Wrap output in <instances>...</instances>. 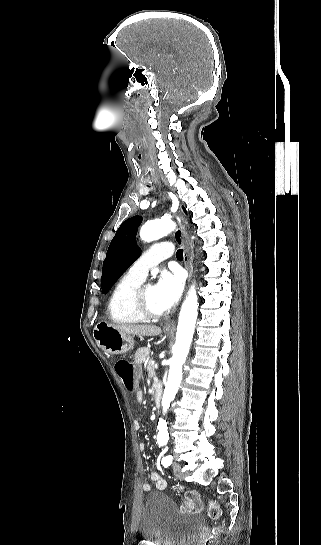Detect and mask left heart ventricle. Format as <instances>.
I'll use <instances>...</instances> for the list:
<instances>
[{
	"mask_svg": "<svg viewBox=\"0 0 321 545\" xmlns=\"http://www.w3.org/2000/svg\"><path fill=\"white\" fill-rule=\"evenodd\" d=\"M142 299L145 307L149 309L150 311L156 312V313H163L161 308L159 307L156 296H155V288L152 285H148L142 294Z\"/></svg>",
	"mask_w": 321,
	"mask_h": 545,
	"instance_id": "obj_1",
	"label": "left heart ventricle"
}]
</instances>
